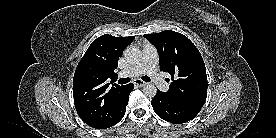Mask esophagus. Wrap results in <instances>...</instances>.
Wrapping results in <instances>:
<instances>
[{
	"label": "esophagus",
	"instance_id": "obj_1",
	"mask_svg": "<svg viewBox=\"0 0 276 138\" xmlns=\"http://www.w3.org/2000/svg\"><path fill=\"white\" fill-rule=\"evenodd\" d=\"M134 84L139 86V87H143V86L146 85V82H143V81L137 79V80L134 81Z\"/></svg>",
	"mask_w": 276,
	"mask_h": 138
}]
</instances>
